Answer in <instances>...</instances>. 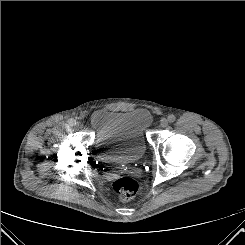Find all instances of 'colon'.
Returning <instances> with one entry per match:
<instances>
[{
    "label": "colon",
    "instance_id": "obj_1",
    "mask_svg": "<svg viewBox=\"0 0 245 245\" xmlns=\"http://www.w3.org/2000/svg\"><path fill=\"white\" fill-rule=\"evenodd\" d=\"M113 189L121 200L128 201L136 195L138 183L130 176H122L114 181Z\"/></svg>",
    "mask_w": 245,
    "mask_h": 245
}]
</instances>
